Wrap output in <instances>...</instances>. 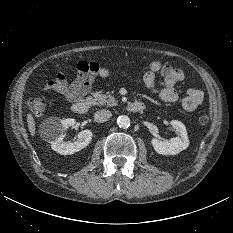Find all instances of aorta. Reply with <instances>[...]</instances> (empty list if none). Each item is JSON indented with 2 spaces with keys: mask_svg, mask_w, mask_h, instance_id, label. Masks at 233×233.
<instances>
[{
  "mask_svg": "<svg viewBox=\"0 0 233 233\" xmlns=\"http://www.w3.org/2000/svg\"><path fill=\"white\" fill-rule=\"evenodd\" d=\"M117 124L120 128L126 129L130 126V118L126 115H121L117 118Z\"/></svg>",
  "mask_w": 233,
  "mask_h": 233,
  "instance_id": "aorta-1",
  "label": "aorta"
}]
</instances>
